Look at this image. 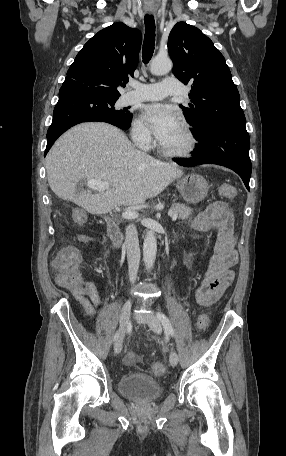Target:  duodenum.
<instances>
[{"mask_svg": "<svg viewBox=\"0 0 286 456\" xmlns=\"http://www.w3.org/2000/svg\"><path fill=\"white\" fill-rule=\"evenodd\" d=\"M107 232L110 240L118 247L123 245V237L116 221L110 219L107 223Z\"/></svg>", "mask_w": 286, "mask_h": 456, "instance_id": "obj_1", "label": "duodenum"}]
</instances>
